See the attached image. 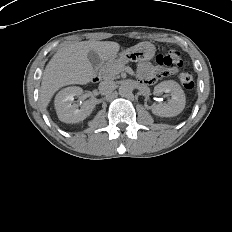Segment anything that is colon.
I'll list each match as a JSON object with an SVG mask.
<instances>
[{
  "mask_svg": "<svg viewBox=\"0 0 232 232\" xmlns=\"http://www.w3.org/2000/svg\"><path fill=\"white\" fill-rule=\"evenodd\" d=\"M157 67H172L175 73L183 67V60L180 53L176 50H169L156 57ZM179 80L186 89H192L194 86L193 75L189 71H181ZM157 81V80H156Z\"/></svg>",
  "mask_w": 232,
  "mask_h": 232,
  "instance_id": "obj_1",
  "label": "colon"
}]
</instances>
